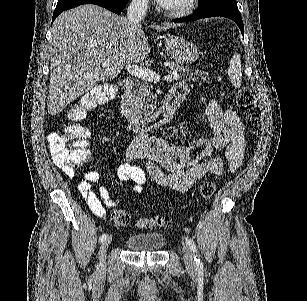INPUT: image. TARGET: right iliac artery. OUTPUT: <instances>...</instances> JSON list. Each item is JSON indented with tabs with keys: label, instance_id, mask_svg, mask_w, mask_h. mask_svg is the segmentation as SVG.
Here are the masks:
<instances>
[{
	"label": "right iliac artery",
	"instance_id": "obj_1",
	"mask_svg": "<svg viewBox=\"0 0 307 301\" xmlns=\"http://www.w3.org/2000/svg\"><path fill=\"white\" fill-rule=\"evenodd\" d=\"M107 236L108 235L106 233H103L99 238L100 242H103L107 238Z\"/></svg>",
	"mask_w": 307,
	"mask_h": 301
}]
</instances>
